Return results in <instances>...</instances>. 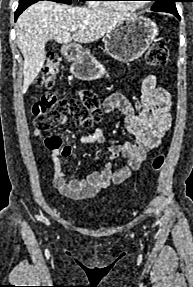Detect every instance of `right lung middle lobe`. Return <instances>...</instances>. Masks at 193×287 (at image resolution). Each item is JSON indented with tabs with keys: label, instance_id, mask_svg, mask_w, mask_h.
I'll return each mask as SVG.
<instances>
[{
	"label": "right lung middle lobe",
	"instance_id": "obj_1",
	"mask_svg": "<svg viewBox=\"0 0 193 287\" xmlns=\"http://www.w3.org/2000/svg\"><path fill=\"white\" fill-rule=\"evenodd\" d=\"M20 1H29V0H20ZM35 1L38 2V1H42V0H35ZM48 1H54L57 3H65V4H69V5L71 4V0H48ZM79 1H86V0H79Z\"/></svg>",
	"mask_w": 193,
	"mask_h": 287
}]
</instances>
